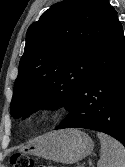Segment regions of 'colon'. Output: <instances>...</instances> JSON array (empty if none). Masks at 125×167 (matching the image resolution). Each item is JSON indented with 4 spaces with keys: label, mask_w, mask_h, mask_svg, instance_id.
<instances>
[{
    "label": "colon",
    "mask_w": 125,
    "mask_h": 167,
    "mask_svg": "<svg viewBox=\"0 0 125 167\" xmlns=\"http://www.w3.org/2000/svg\"><path fill=\"white\" fill-rule=\"evenodd\" d=\"M9 162L11 167H33L32 159L24 154H13Z\"/></svg>",
    "instance_id": "colon-1"
}]
</instances>
